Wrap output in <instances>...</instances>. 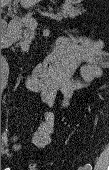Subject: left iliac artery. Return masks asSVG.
<instances>
[{
  "label": "left iliac artery",
  "instance_id": "obj_1",
  "mask_svg": "<svg viewBox=\"0 0 109 170\" xmlns=\"http://www.w3.org/2000/svg\"><path fill=\"white\" fill-rule=\"evenodd\" d=\"M82 170H91V165L90 164H86L84 167H81Z\"/></svg>",
  "mask_w": 109,
  "mask_h": 170
}]
</instances>
